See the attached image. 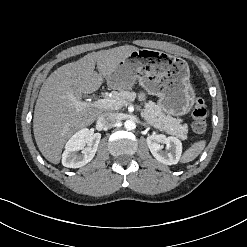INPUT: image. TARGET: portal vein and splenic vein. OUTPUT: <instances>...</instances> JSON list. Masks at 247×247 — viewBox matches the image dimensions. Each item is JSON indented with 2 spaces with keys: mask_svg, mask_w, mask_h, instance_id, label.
Here are the masks:
<instances>
[{
  "mask_svg": "<svg viewBox=\"0 0 247 247\" xmlns=\"http://www.w3.org/2000/svg\"><path fill=\"white\" fill-rule=\"evenodd\" d=\"M72 101L78 106V107H95L98 109H112V110H118L124 105H128V102H121L117 101L111 98H104L99 99L97 101H94L92 103H88L85 101H77L75 98L72 99Z\"/></svg>",
  "mask_w": 247,
  "mask_h": 247,
  "instance_id": "obj_1",
  "label": "portal vein and splenic vein"
}]
</instances>
